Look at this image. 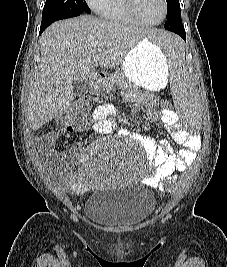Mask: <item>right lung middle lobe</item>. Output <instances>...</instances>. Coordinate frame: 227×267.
Listing matches in <instances>:
<instances>
[{"instance_id": "obj_1", "label": "right lung middle lobe", "mask_w": 227, "mask_h": 267, "mask_svg": "<svg viewBox=\"0 0 227 267\" xmlns=\"http://www.w3.org/2000/svg\"><path fill=\"white\" fill-rule=\"evenodd\" d=\"M82 13H91V10L85 0H46L43 8L42 19L69 17Z\"/></svg>"}]
</instances>
